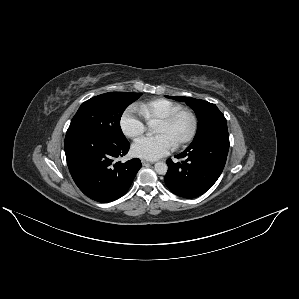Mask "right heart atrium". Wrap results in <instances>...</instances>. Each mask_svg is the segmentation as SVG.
Wrapping results in <instances>:
<instances>
[{
  "mask_svg": "<svg viewBox=\"0 0 299 299\" xmlns=\"http://www.w3.org/2000/svg\"><path fill=\"white\" fill-rule=\"evenodd\" d=\"M124 134L132 139L141 137L147 130V123L141 112L134 106L129 107L120 120Z\"/></svg>",
  "mask_w": 299,
  "mask_h": 299,
  "instance_id": "1",
  "label": "right heart atrium"
}]
</instances>
